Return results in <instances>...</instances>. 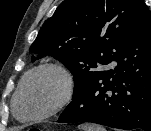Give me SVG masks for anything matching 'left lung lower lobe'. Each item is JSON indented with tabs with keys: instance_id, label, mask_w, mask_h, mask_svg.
I'll use <instances>...</instances> for the list:
<instances>
[{
	"instance_id": "0a47b994",
	"label": "left lung lower lobe",
	"mask_w": 151,
	"mask_h": 131,
	"mask_svg": "<svg viewBox=\"0 0 151 131\" xmlns=\"http://www.w3.org/2000/svg\"><path fill=\"white\" fill-rule=\"evenodd\" d=\"M57 122L151 131V12L144 2L118 65L92 80Z\"/></svg>"
}]
</instances>
